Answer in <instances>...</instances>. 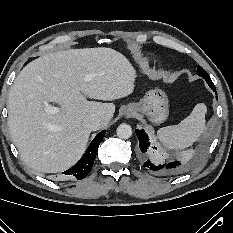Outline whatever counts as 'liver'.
<instances>
[{
  "label": "liver",
  "mask_w": 233,
  "mask_h": 233,
  "mask_svg": "<svg viewBox=\"0 0 233 233\" xmlns=\"http://www.w3.org/2000/svg\"><path fill=\"white\" fill-rule=\"evenodd\" d=\"M136 75L130 61L106 47L69 49L41 56L27 64L14 80L8 98V125L22 160L33 170H67L82 156L91 131L83 127L89 115L108 125L112 101L133 93ZM86 96V97H85ZM58 104L59 112L46 107Z\"/></svg>",
  "instance_id": "1"
}]
</instances>
